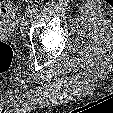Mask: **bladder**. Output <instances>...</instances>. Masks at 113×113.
<instances>
[{"mask_svg": "<svg viewBox=\"0 0 113 113\" xmlns=\"http://www.w3.org/2000/svg\"><path fill=\"white\" fill-rule=\"evenodd\" d=\"M14 27V22L6 15L0 14V38L10 35Z\"/></svg>", "mask_w": 113, "mask_h": 113, "instance_id": "bladder-1", "label": "bladder"}]
</instances>
